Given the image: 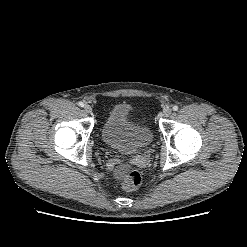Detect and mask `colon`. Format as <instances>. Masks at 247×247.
<instances>
[{
	"mask_svg": "<svg viewBox=\"0 0 247 247\" xmlns=\"http://www.w3.org/2000/svg\"><path fill=\"white\" fill-rule=\"evenodd\" d=\"M141 183V174L136 170H132L124 177L122 187L127 191H133L138 189L141 186Z\"/></svg>",
	"mask_w": 247,
	"mask_h": 247,
	"instance_id": "1",
	"label": "colon"
}]
</instances>
